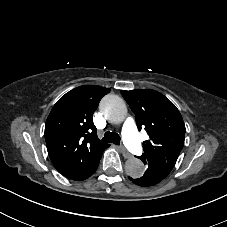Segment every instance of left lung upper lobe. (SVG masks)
Returning <instances> with one entry per match:
<instances>
[{
    "mask_svg": "<svg viewBox=\"0 0 227 227\" xmlns=\"http://www.w3.org/2000/svg\"><path fill=\"white\" fill-rule=\"evenodd\" d=\"M135 114L138 130L145 128L149 140L143 142L145 165H155L169 174L184 146L185 125L176 106L154 90L121 91Z\"/></svg>",
    "mask_w": 227,
    "mask_h": 227,
    "instance_id": "obj_1",
    "label": "left lung upper lobe"
}]
</instances>
